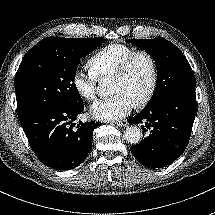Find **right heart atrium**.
Segmentation results:
<instances>
[{
	"mask_svg": "<svg viewBox=\"0 0 215 215\" xmlns=\"http://www.w3.org/2000/svg\"><path fill=\"white\" fill-rule=\"evenodd\" d=\"M72 85L80 98L91 102L96 98L97 79L82 70H76L72 76Z\"/></svg>",
	"mask_w": 215,
	"mask_h": 215,
	"instance_id": "obj_1",
	"label": "right heart atrium"
}]
</instances>
